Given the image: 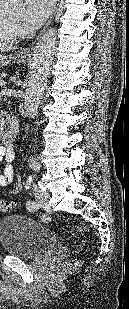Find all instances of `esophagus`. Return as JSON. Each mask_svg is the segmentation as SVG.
I'll use <instances>...</instances> for the list:
<instances>
[{
  "label": "esophagus",
  "mask_w": 129,
  "mask_h": 309,
  "mask_svg": "<svg viewBox=\"0 0 129 309\" xmlns=\"http://www.w3.org/2000/svg\"><path fill=\"white\" fill-rule=\"evenodd\" d=\"M59 2H60V0H55V2H54V7H53V12H52V14H51V17H50L48 23L46 24V26H45V27L43 28V30L41 31L40 35L45 31V29H46V28L50 25V23L52 22V20H53V18H54V15L56 14V12H57V10H58ZM40 35L36 38V40H38V38L40 37ZM36 40L33 41V42L31 43V45H29V47L23 49L22 53H23L24 55H30V54L32 53V50H33V48H34V44L36 43Z\"/></svg>",
  "instance_id": "esophagus-1"
}]
</instances>
